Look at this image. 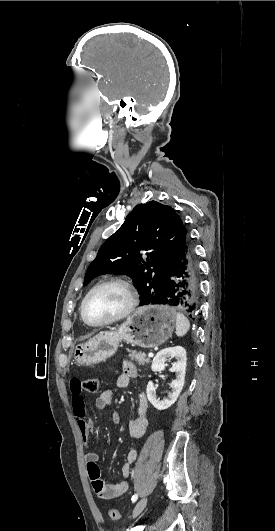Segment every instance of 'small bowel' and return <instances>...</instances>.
Masks as SVG:
<instances>
[{"mask_svg": "<svg viewBox=\"0 0 275 531\" xmlns=\"http://www.w3.org/2000/svg\"><path fill=\"white\" fill-rule=\"evenodd\" d=\"M137 375V368L132 362H122V372L116 380L114 389L126 388L129 385L130 380L136 378ZM67 379L71 384L69 390L71 396L74 397L72 398V410L77 420L80 435L83 442L88 444L90 436L94 433V425L87 417L85 403L80 396L84 390V388L79 387L82 378L79 373H70ZM114 389L107 388L100 392L95 401L97 409L105 410L111 407ZM79 396L80 398H77ZM148 407L147 396L144 392H141L138 400L137 414L129 423V434L131 437L140 438L146 434L149 425ZM110 417L114 423H119L121 420L120 413L114 409L110 410ZM137 457L138 453L135 449L130 448L127 450L121 467V474L124 479H127L131 475V465L136 462ZM84 458L92 488L100 499L112 500L127 492L129 484L126 480H122L115 484H106L103 481L98 465L99 455L96 451L87 450Z\"/></svg>", "mask_w": 275, "mask_h": 531, "instance_id": "small-bowel-1", "label": "small bowel"}]
</instances>
